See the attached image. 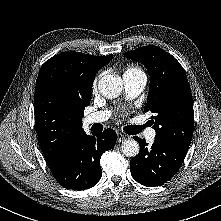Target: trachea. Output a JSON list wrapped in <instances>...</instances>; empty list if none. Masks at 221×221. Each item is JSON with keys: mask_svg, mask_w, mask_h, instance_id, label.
Returning <instances> with one entry per match:
<instances>
[{"mask_svg": "<svg viewBox=\"0 0 221 221\" xmlns=\"http://www.w3.org/2000/svg\"><path fill=\"white\" fill-rule=\"evenodd\" d=\"M143 128H145V125H131V126H128L125 128V131L128 133V134H131V135H135V134H139Z\"/></svg>", "mask_w": 221, "mask_h": 221, "instance_id": "trachea-1", "label": "trachea"}]
</instances>
